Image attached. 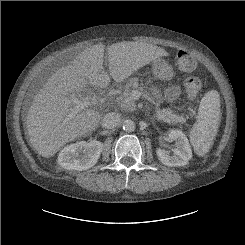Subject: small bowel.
I'll return each instance as SVG.
<instances>
[{
    "label": "small bowel",
    "mask_w": 245,
    "mask_h": 245,
    "mask_svg": "<svg viewBox=\"0 0 245 245\" xmlns=\"http://www.w3.org/2000/svg\"><path fill=\"white\" fill-rule=\"evenodd\" d=\"M178 94H179V88L177 86H173L165 91V98L167 100H173L178 96Z\"/></svg>",
    "instance_id": "1"
}]
</instances>
